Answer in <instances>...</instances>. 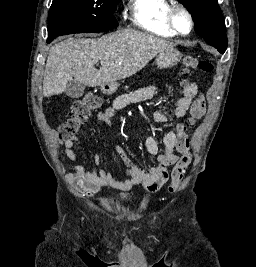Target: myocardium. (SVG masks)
<instances>
[{"instance_id":"f54148a6","label":"myocardium","mask_w":256,"mask_h":267,"mask_svg":"<svg viewBox=\"0 0 256 267\" xmlns=\"http://www.w3.org/2000/svg\"><path fill=\"white\" fill-rule=\"evenodd\" d=\"M175 10H179L186 15L188 22H189V29L186 32H182L178 28V26L176 24V20H175ZM167 19H168L170 27L177 35L188 36L193 30V27H194L193 16H192L191 12L184 5H182L180 3H176L175 7L168 11Z\"/></svg>"}]
</instances>
